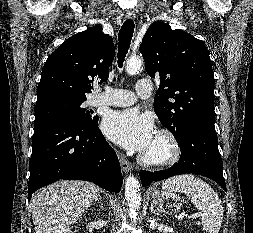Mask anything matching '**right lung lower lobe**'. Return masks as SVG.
Returning <instances> with one entry per match:
<instances>
[{
  "mask_svg": "<svg viewBox=\"0 0 253 233\" xmlns=\"http://www.w3.org/2000/svg\"><path fill=\"white\" fill-rule=\"evenodd\" d=\"M28 199L60 179L86 180L119 192L123 178L116 152L98 128V119L79 126L59 119L34 124Z\"/></svg>",
  "mask_w": 253,
  "mask_h": 233,
  "instance_id": "98d812e1",
  "label": "right lung lower lobe"
}]
</instances>
